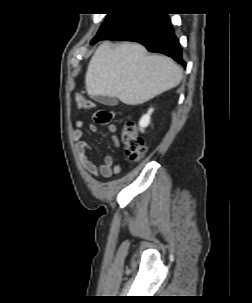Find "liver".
<instances>
[{"instance_id":"6515ba94","label":"liver","mask_w":252,"mask_h":303,"mask_svg":"<svg viewBox=\"0 0 252 303\" xmlns=\"http://www.w3.org/2000/svg\"><path fill=\"white\" fill-rule=\"evenodd\" d=\"M182 76L172 59L148 56L140 44L104 42L89 62L85 84L91 97H116L124 104L139 105L176 87Z\"/></svg>"}]
</instances>
